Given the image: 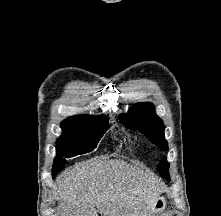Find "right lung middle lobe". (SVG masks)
Here are the masks:
<instances>
[{
	"label": "right lung middle lobe",
	"instance_id": "dd1d6c3e",
	"mask_svg": "<svg viewBox=\"0 0 221 216\" xmlns=\"http://www.w3.org/2000/svg\"><path fill=\"white\" fill-rule=\"evenodd\" d=\"M108 121L106 116L80 118L61 126L63 133L56 142L53 177L66 164L65 158L88 153L97 147L109 127Z\"/></svg>",
	"mask_w": 221,
	"mask_h": 216
}]
</instances>
